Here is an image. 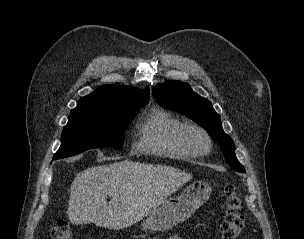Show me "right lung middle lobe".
<instances>
[{
	"instance_id": "1",
	"label": "right lung middle lobe",
	"mask_w": 304,
	"mask_h": 239,
	"mask_svg": "<svg viewBox=\"0 0 304 239\" xmlns=\"http://www.w3.org/2000/svg\"><path fill=\"white\" fill-rule=\"evenodd\" d=\"M141 107L114 113L71 114L64 127L61 146L53 159L70 157L99 147L123 148L124 131Z\"/></svg>"
}]
</instances>
